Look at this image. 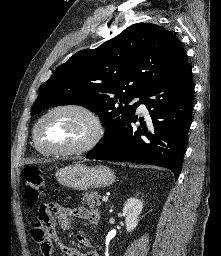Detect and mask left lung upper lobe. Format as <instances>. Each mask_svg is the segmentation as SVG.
Returning <instances> with one entry per match:
<instances>
[{"instance_id": "left-lung-upper-lobe-1", "label": "left lung upper lobe", "mask_w": 221, "mask_h": 256, "mask_svg": "<svg viewBox=\"0 0 221 256\" xmlns=\"http://www.w3.org/2000/svg\"><path fill=\"white\" fill-rule=\"evenodd\" d=\"M186 63L172 32L156 24H133L57 67L40 87L32 115L49 107L81 105L98 114L107 133L128 121L143 97ZM138 97L140 101L129 104Z\"/></svg>"}]
</instances>
